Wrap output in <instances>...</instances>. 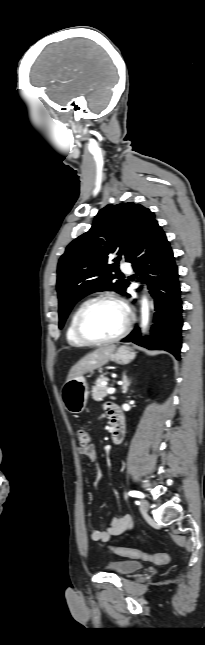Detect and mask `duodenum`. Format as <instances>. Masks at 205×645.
Masks as SVG:
<instances>
[{
  "label": "duodenum",
  "mask_w": 205,
  "mask_h": 645,
  "mask_svg": "<svg viewBox=\"0 0 205 645\" xmlns=\"http://www.w3.org/2000/svg\"><path fill=\"white\" fill-rule=\"evenodd\" d=\"M112 428H111V437L114 444H120L124 438L125 434V422L122 413L120 410L114 406V411L112 412Z\"/></svg>",
  "instance_id": "obj_1"
}]
</instances>
